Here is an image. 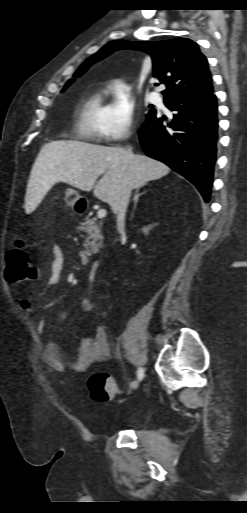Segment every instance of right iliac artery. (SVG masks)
Masks as SVG:
<instances>
[{"instance_id": "82829eb1", "label": "right iliac artery", "mask_w": 247, "mask_h": 513, "mask_svg": "<svg viewBox=\"0 0 247 513\" xmlns=\"http://www.w3.org/2000/svg\"><path fill=\"white\" fill-rule=\"evenodd\" d=\"M137 377H138V380L143 379V377H144V369L143 368H141V367L138 368Z\"/></svg>"}]
</instances>
